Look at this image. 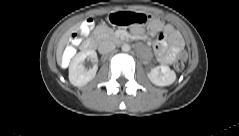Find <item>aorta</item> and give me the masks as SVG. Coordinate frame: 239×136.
<instances>
[{"mask_svg": "<svg viewBox=\"0 0 239 136\" xmlns=\"http://www.w3.org/2000/svg\"><path fill=\"white\" fill-rule=\"evenodd\" d=\"M130 50V46L128 44H123L122 45V51L128 52Z\"/></svg>", "mask_w": 239, "mask_h": 136, "instance_id": "1", "label": "aorta"}]
</instances>
